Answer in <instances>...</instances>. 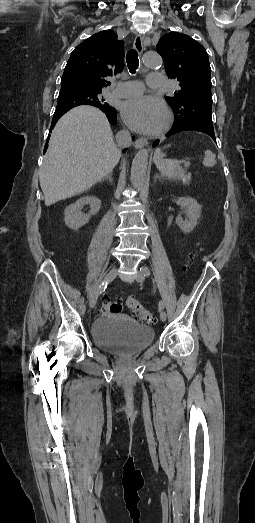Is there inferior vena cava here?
I'll return each mask as SVG.
<instances>
[{"label":"inferior vena cava","instance_id":"obj_1","mask_svg":"<svg viewBox=\"0 0 255 523\" xmlns=\"http://www.w3.org/2000/svg\"><path fill=\"white\" fill-rule=\"evenodd\" d=\"M117 150L121 152V148H128L131 144V136L128 130H121L116 136Z\"/></svg>","mask_w":255,"mask_h":523}]
</instances>
